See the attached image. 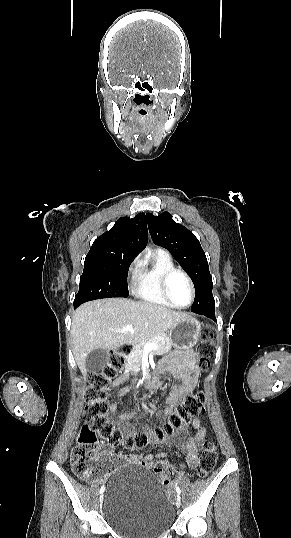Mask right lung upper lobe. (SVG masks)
<instances>
[{
    "mask_svg": "<svg viewBox=\"0 0 291 538\" xmlns=\"http://www.w3.org/2000/svg\"><path fill=\"white\" fill-rule=\"evenodd\" d=\"M148 230L144 213L119 218L113 228L94 242L88 254L105 253L136 257L147 245Z\"/></svg>",
    "mask_w": 291,
    "mask_h": 538,
    "instance_id": "cb5924a9",
    "label": "right lung upper lobe"
}]
</instances>
